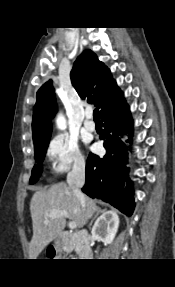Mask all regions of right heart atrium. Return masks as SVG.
Segmentation results:
<instances>
[{
    "instance_id": "1",
    "label": "right heart atrium",
    "mask_w": 175,
    "mask_h": 287,
    "mask_svg": "<svg viewBox=\"0 0 175 287\" xmlns=\"http://www.w3.org/2000/svg\"><path fill=\"white\" fill-rule=\"evenodd\" d=\"M47 158L54 174H62L70 169H83L84 157L76 139L66 135L54 136L47 146Z\"/></svg>"
}]
</instances>
